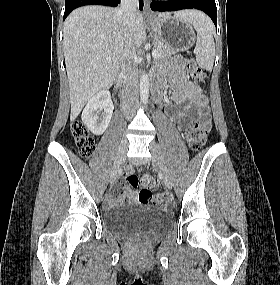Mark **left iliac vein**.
<instances>
[{
	"instance_id": "left-iliac-vein-1",
	"label": "left iliac vein",
	"mask_w": 280,
	"mask_h": 285,
	"mask_svg": "<svg viewBox=\"0 0 280 285\" xmlns=\"http://www.w3.org/2000/svg\"><path fill=\"white\" fill-rule=\"evenodd\" d=\"M150 151L152 153V161L155 167L159 170L162 175L164 185L167 189L172 188V177L167 168L164 157L160 151L158 144L154 141L150 143Z\"/></svg>"
}]
</instances>
